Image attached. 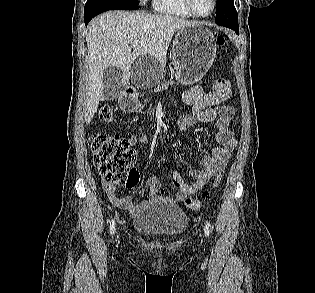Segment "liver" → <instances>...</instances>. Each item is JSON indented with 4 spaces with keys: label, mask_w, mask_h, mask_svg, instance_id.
Instances as JSON below:
<instances>
[{
    "label": "liver",
    "mask_w": 315,
    "mask_h": 293,
    "mask_svg": "<svg viewBox=\"0 0 315 293\" xmlns=\"http://www.w3.org/2000/svg\"><path fill=\"white\" fill-rule=\"evenodd\" d=\"M194 24L176 16L142 11H110L93 19L88 28L89 87L85 100V122H91L99 102L105 99L103 73L109 66L122 69L124 84L131 77V65L140 56L149 55L162 66L176 31ZM138 41L132 52L131 44Z\"/></svg>",
    "instance_id": "6515ba94"
}]
</instances>
